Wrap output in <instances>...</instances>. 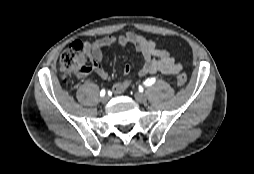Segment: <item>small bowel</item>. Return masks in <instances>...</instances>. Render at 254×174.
I'll return each instance as SVG.
<instances>
[{
	"label": "small bowel",
	"mask_w": 254,
	"mask_h": 174,
	"mask_svg": "<svg viewBox=\"0 0 254 174\" xmlns=\"http://www.w3.org/2000/svg\"><path fill=\"white\" fill-rule=\"evenodd\" d=\"M114 45H133L135 47L143 58L140 68V75L142 76L155 73L175 75L182 70V64L176 61L167 50L160 49L155 41L128 32L120 36H106L93 42H85V49L92 59V70L103 80L109 78L108 71L102 65L103 48ZM131 70L130 64L125 65L123 78L112 87L115 94H122L129 87L131 80L127 76Z\"/></svg>",
	"instance_id": "small-bowel-1"
}]
</instances>
